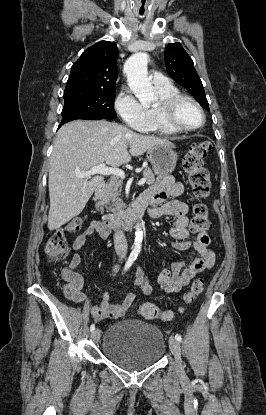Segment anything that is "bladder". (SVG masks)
Masks as SVG:
<instances>
[{
  "label": "bladder",
  "instance_id": "1",
  "mask_svg": "<svg viewBox=\"0 0 266 415\" xmlns=\"http://www.w3.org/2000/svg\"><path fill=\"white\" fill-rule=\"evenodd\" d=\"M166 350L161 330L138 319H123L109 326L103 342V355L125 370H141L157 363Z\"/></svg>",
  "mask_w": 266,
  "mask_h": 415
}]
</instances>
